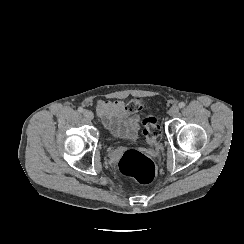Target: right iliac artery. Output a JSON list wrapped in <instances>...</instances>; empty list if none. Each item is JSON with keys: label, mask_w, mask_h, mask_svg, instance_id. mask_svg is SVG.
Segmentation results:
<instances>
[{"label": "right iliac artery", "mask_w": 244, "mask_h": 244, "mask_svg": "<svg viewBox=\"0 0 244 244\" xmlns=\"http://www.w3.org/2000/svg\"><path fill=\"white\" fill-rule=\"evenodd\" d=\"M78 112L83 113L84 112V109L82 107H79L78 108Z\"/></svg>", "instance_id": "right-iliac-artery-1"}]
</instances>
